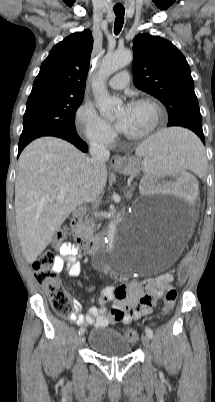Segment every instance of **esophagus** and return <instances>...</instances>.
I'll return each mask as SVG.
<instances>
[{"label": "esophagus", "mask_w": 215, "mask_h": 402, "mask_svg": "<svg viewBox=\"0 0 215 402\" xmlns=\"http://www.w3.org/2000/svg\"><path fill=\"white\" fill-rule=\"evenodd\" d=\"M122 162V157L120 155H114L110 159V166L116 168L121 166Z\"/></svg>", "instance_id": "34e87169"}]
</instances>
